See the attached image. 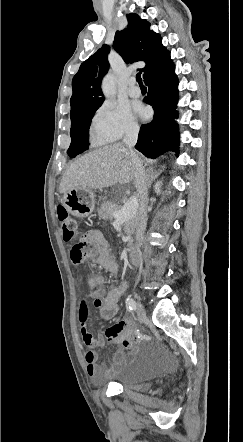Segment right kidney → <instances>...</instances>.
I'll use <instances>...</instances> for the list:
<instances>
[{
	"instance_id": "obj_1",
	"label": "right kidney",
	"mask_w": 243,
	"mask_h": 442,
	"mask_svg": "<svg viewBox=\"0 0 243 442\" xmlns=\"http://www.w3.org/2000/svg\"><path fill=\"white\" fill-rule=\"evenodd\" d=\"M161 185H162V181H158V182H156V184H155V186H154L155 192H156L157 194L160 193V187H161Z\"/></svg>"
}]
</instances>
